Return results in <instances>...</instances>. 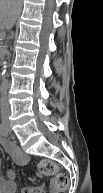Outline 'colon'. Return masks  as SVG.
<instances>
[{
	"label": "colon",
	"instance_id": "5ec220e1",
	"mask_svg": "<svg viewBox=\"0 0 103 193\" xmlns=\"http://www.w3.org/2000/svg\"><path fill=\"white\" fill-rule=\"evenodd\" d=\"M39 172L43 175L53 176L54 183L59 190H65L69 186L68 176L60 170L58 165L50 159H42L38 165Z\"/></svg>",
	"mask_w": 103,
	"mask_h": 193
}]
</instances>
